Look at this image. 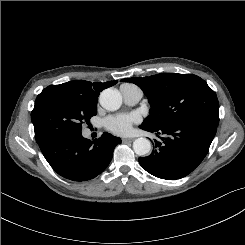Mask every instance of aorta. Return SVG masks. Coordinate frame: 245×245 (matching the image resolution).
<instances>
[{
    "instance_id": "aorta-1",
    "label": "aorta",
    "mask_w": 245,
    "mask_h": 245,
    "mask_svg": "<svg viewBox=\"0 0 245 245\" xmlns=\"http://www.w3.org/2000/svg\"><path fill=\"white\" fill-rule=\"evenodd\" d=\"M99 101L106 110L115 111L122 104V96L117 89L108 88L101 92ZM133 149L137 155L144 156L150 152L151 143L148 139L140 137L133 142Z\"/></svg>"
}]
</instances>
